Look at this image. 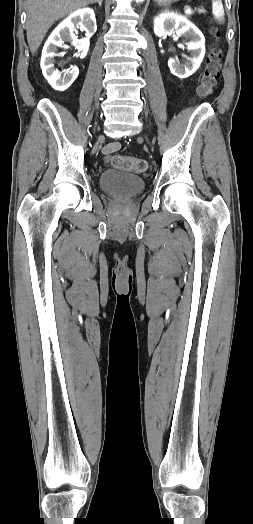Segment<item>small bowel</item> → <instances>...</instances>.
<instances>
[{
	"mask_svg": "<svg viewBox=\"0 0 253 524\" xmlns=\"http://www.w3.org/2000/svg\"><path fill=\"white\" fill-rule=\"evenodd\" d=\"M187 102L189 104H193L195 102V99L193 97H189L187 99ZM119 149H120V143L119 142H112V143L107 144L103 148V152H104V154H112V153L118 151Z\"/></svg>",
	"mask_w": 253,
	"mask_h": 524,
	"instance_id": "1",
	"label": "small bowel"
}]
</instances>
